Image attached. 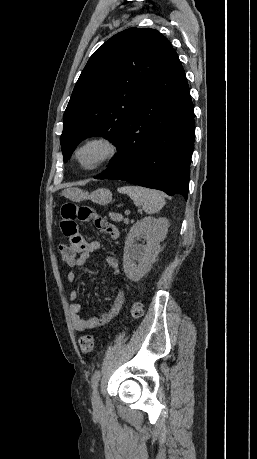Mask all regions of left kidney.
<instances>
[{"label": "left kidney", "mask_w": 257, "mask_h": 459, "mask_svg": "<svg viewBox=\"0 0 257 459\" xmlns=\"http://www.w3.org/2000/svg\"><path fill=\"white\" fill-rule=\"evenodd\" d=\"M168 227V219L151 216L137 221L131 227L123 255L124 273L128 279L137 282L150 270L160 252V242L165 239ZM138 237L144 238L146 245H136Z\"/></svg>", "instance_id": "1"}]
</instances>
